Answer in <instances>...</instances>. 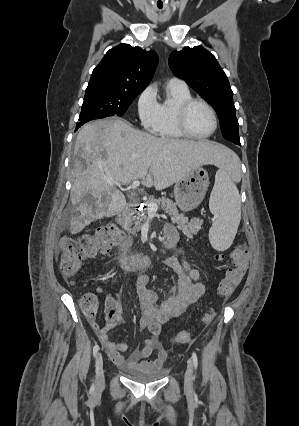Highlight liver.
Masks as SVG:
<instances>
[{"label":"liver","instance_id":"6515ba94","mask_svg":"<svg viewBox=\"0 0 299 426\" xmlns=\"http://www.w3.org/2000/svg\"><path fill=\"white\" fill-rule=\"evenodd\" d=\"M235 159L230 149L212 141L159 138L121 119L88 123L74 147L70 231L76 234L94 220L124 210L125 196L110 182L141 180L143 186L163 190L201 165L225 167Z\"/></svg>","mask_w":299,"mask_h":426}]
</instances>
